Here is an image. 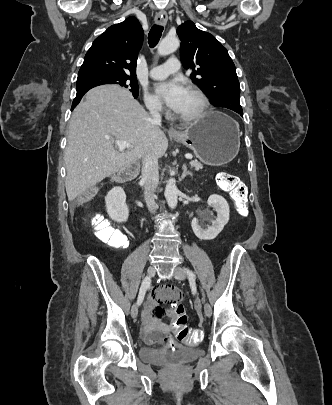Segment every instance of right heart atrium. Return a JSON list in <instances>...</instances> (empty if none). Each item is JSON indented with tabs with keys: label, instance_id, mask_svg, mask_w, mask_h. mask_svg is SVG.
<instances>
[{
	"label": "right heart atrium",
	"instance_id": "obj_1",
	"mask_svg": "<svg viewBox=\"0 0 332 405\" xmlns=\"http://www.w3.org/2000/svg\"><path fill=\"white\" fill-rule=\"evenodd\" d=\"M144 103L146 108L151 112H160L163 110L159 100L149 92H144Z\"/></svg>",
	"mask_w": 332,
	"mask_h": 405
}]
</instances>
